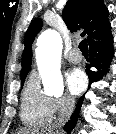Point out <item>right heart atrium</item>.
I'll return each instance as SVG.
<instances>
[{"instance_id":"d8ad5b80","label":"right heart atrium","mask_w":116,"mask_h":134,"mask_svg":"<svg viewBox=\"0 0 116 134\" xmlns=\"http://www.w3.org/2000/svg\"><path fill=\"white\" fill-rule=\"evenodd\" d=\"M74 105V99L68 95L51 98V110L53 112V115L68 114L72 111Z\"/></svg>"}]
</instances>
